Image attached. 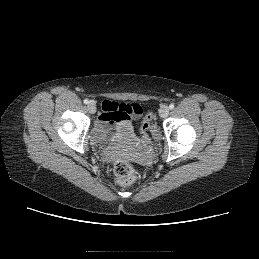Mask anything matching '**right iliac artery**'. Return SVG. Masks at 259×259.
I'll return each instance as SVG.
<instances>
[{
	"instance_id": "82829eb1",
	"label": "right iliac artery",
	"mask_w": 259,
	"mask_h": 259,
	"mask_svg": "<svg viewBox=\"0 0 259 259\" xmlns=\"http://www.w3.org/2000/svg\"><path fill=\"white\" fill-rule=\"evenodd\" d=\"M84 104H88L89 103V100L88 99H84Z\"/></svg>"
}]
</instances>
